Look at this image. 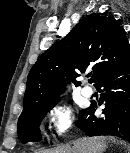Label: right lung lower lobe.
Listing matches in <instances>:
<instances>
[{
	"label": "right lung lower lobe",
	"mask_w": 130,
	"mask_h": 153,
	"mask_svg": "<svg viewBox=\"0 0 130 153\" xmlns=\"http://www.w3.org/2000/svg\"><path fill=\"white\" fill-rule=\"evenodd\" d=\"M101 90L98 104L79 114L76 126L89 136L114 135L130 141V57L104 73L95 83ZM105 104L102 115L95 116L97 105Z\"/></svg>",
	"instance_id": "98d812e1"
}]
</instances>
